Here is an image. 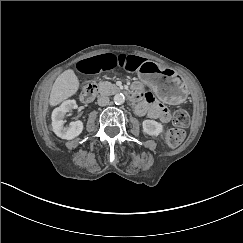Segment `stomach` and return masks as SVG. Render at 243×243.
<instances>
[{
  "instance_id": "obj_1",
  "label": "stomach",
  "mask_w": 243,
  "mask_h": 243,
  "mask_svg": "<svg viewBox=\"0 0 243 243\" xmlns=\"http://www.w3.org/2000/svg\"><path fill=\"white\" fill-rule=\"evenodd\" d=\"M138 77L166 103L180 104L186 99L185 82L171 68L161 67L152 61H145L138 69Z\"/></svg>"
}]
</instances>
